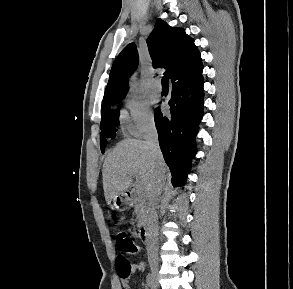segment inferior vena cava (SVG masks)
I'll use <instances>...</instances> for the list:
<instances>
[{
  "instance_id": "602c4592",
  "label": "inferior vena cava",
  "mask_w": 293,
  "mask_h": 289,
  "mask_svg": "<svg viewBox=\"0 0 293 289\" xmlns=\"http://www.w3.org/2000/svg\"><path fill=\"white\" fill-rule=\"evenodd\" d=\"M144 139L146 144L149 146L152 154L156 158H162V153L159 148L158 134L154 122H149L146 125ZM166 176L163 172L158 169L156 175L148 189V242H147V252L148 260L157 263L158 260V225H157V213L156 205L158 197L160 196L164 186H165Z\"/></svg>"
}]
</instances>
